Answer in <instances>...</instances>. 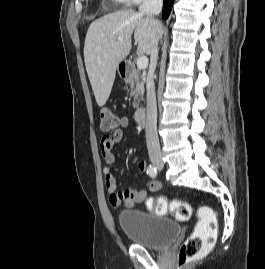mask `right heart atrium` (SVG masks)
Wrapping results in <instances>:
<instances>
[{
	"label": "right heart atrium",
	"mask_w": 265,
	"mask_h": 269,
	"mask_svg": "<svg viewBox=\"0 0 265 269\" xmlns=\"http://www.w3.org/2000/svg\"><path fill=\"white\" fill-rule=\"evenodd\" d=\"M120 1L127 5L135 6V5L141 4L143 1H146V0H120Z\"/></svg>",
	"instance_id": "right-heart-atrium-1"
}]
</instances>
